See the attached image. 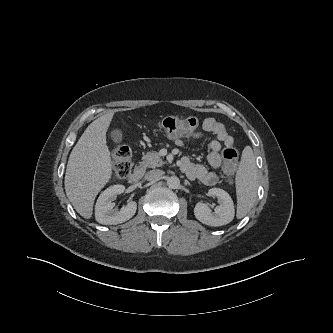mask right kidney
<instances>
[{
	"label": "right kidney",
	"mask_w": 333,
	"mask_h": 333,
	"mask_svg": "<svg viewBox=\"0 0 333 333\" xmlns=\"http://www.w3.org/2000/svg\"><path fill=\"white\" fill-rule=\"evenodd\" d=\"M124 191L125 187L123 185H113L100 194L95 205V218L97 222L104 225H115L123 223L134 216L137 209L135 201L129 202L120 211L113 209L115 206L113 201L117 195Z\"/></svg>",
	"instance_id": "obj_1"
}]
</instances>
